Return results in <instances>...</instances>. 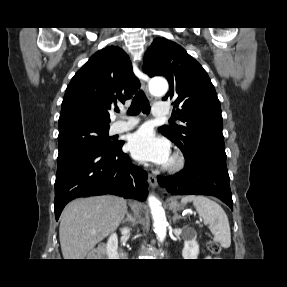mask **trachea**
<instances>
[{"label":"trachea","mask_w":287,"mask_h":287,"mask_svg":"<svg viewBox=\"0 0 287 287\" xmlns=\"http://www.w3.org/2000/svg\"><path fill=\"white\" fill-rule=\"evenodd\" d=\"M142 111L144 114H149L150 105L143 91H139L132 100L131 106L128 109V114L136 116ZM118 112V110H117Z\"/></svg>","instance_id":"obj_1"}]
</instances>
